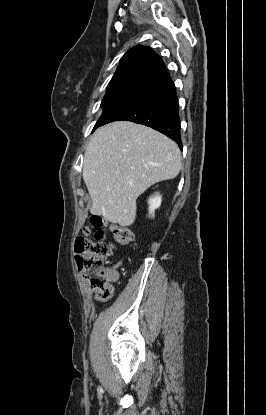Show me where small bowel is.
Returning a JSON list of instances; mask_svg holds the SVG:
<instances>
[{"instance_id": "c3829d8e", "label": "small bowel", "mask_w": 266, "mask_h": 415, "mask_svg": "<svg viewBox=\"0 0 266 415\" xmlns=\"http://www.w3.org/2000/svg\"><path fill=\"white\" fill-rule=\"evenodd\" d=\"M121 263H122V261H118V262H116V263H114L109 269H108V271H109V273L111 274V276H112V281H114V280H116L117 279V277H118V268H119V266L121 265Z\"/></svg>"}]
</instances>
